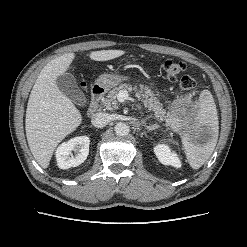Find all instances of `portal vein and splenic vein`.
<instances>
[{"label":"portal vein and splenic vein","instance_id":"obj_1","mask_svg":"<svg viewBox=\"0 0 247 247\" xmlns=\"http://www.w3.org/2000/svg\"><path fill=\"white\" fill-rule=\"evenodd\" d=\"M117 100L121 103H125L126 101H132L133 99H130L128 96V91L126 90H121L118 94H117ZM138 107H141L138 105Z\"/></svg>","mask_w":247,"mask_h":247}]
</instances>
